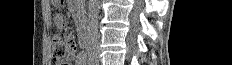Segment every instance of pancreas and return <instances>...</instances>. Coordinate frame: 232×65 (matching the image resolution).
I'll return each instance as SVG.
<instances>
[{"mask_svg": "<svg viewBox=\"0 0 232 65\" xmlns=\"http://www.w3.org/2000/svg\"><path fill=\"white\" fill-rule=\"evenodd\" d=\"M74 2H75V1H74ZM72 8H73V12H77L76 18H77L78 21H79V19H80V11L76 10V8H75L74 6H73ZM79 29H81V26H79Z\"/></svg>", "mask_w": 232, "mask_h": 65, "instance_id": "cf45deb5", "label": "pancreas"}]
</instances>
